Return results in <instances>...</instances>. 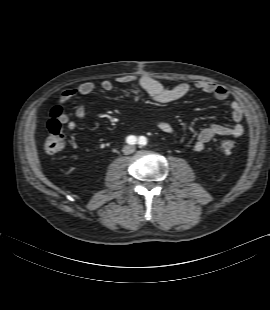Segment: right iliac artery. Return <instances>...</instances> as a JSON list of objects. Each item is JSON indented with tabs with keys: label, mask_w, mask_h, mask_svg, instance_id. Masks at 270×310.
<instances>
[{
	"label": "right iliac artery",
	"mask_w": 270,
	"mask_h": 310,
	"mask_svg": "<svg viewBox=\"0 0 270 310\" xmlns=\"http://www.w3.org/2000/svg\"><path fill=\"white\" fill-rule=\"evenodd\" d=\"M137 142V138L133 135L127 137V143L130 145H134Z\"/></svg>",
	"instance_id": "82829eb1"
}]
</instances>
